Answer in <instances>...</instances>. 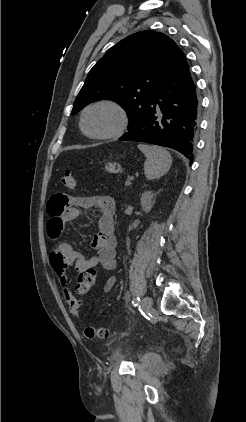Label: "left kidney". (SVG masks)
I'll return each instance as SVG.
<instances>
[{"mask_svg":"<svg viewBox=\"0 0 246 422\" xmlns=\"http://www.w3.org/2000/svg\"><path fill=\"white\" fill-rule=\"evenodd\" d=\"M153 195L154 194L152 191H146L141 195V206L145 212H150V210L152 209V206L154 204Z\"/></svg>","mask_w":246,"mask_h":422,"instance_id":"obj_1","label":"left kidney"}]
</instances>
